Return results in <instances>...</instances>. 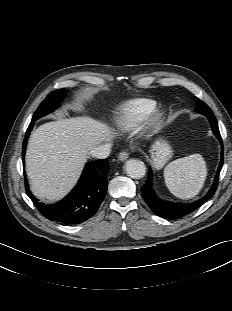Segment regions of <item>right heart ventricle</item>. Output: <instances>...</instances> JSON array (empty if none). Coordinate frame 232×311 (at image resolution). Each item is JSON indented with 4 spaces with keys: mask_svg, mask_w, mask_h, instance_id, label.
Here are the masks:
<instances>
[{
    "mask_svg": "<svg viewBox=\"0 0 232 311\" xmlns=\"http://www.w3.org/2000/svg\"><path fill=\"white\" fill-rule=\"evenodd\" d=\"M157 106V102L149 98H136L124 103L114 117V126L122 131L137 127Z\"/></svg>",
    "mask_w": 232,
    "mask_h": 311,
    "instance_id": "obj_1",
    "label": "right heart ventricle"
}]
</instances>
